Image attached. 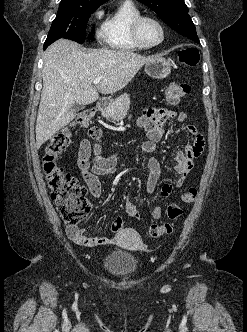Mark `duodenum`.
Instances as JSON below:
<instances>
[{
  "mask_svg": "<svg viewBox=\"0 0 247 332\" xmlns=\"http://www.w3.org/2000/svg\"><path fill=\"white\" fill-rule=\"evenodd\" d=\"M109 106V101L106 99H101L96 104V110L100 113L106 111Z\"/></svg>",
  "mask_w": 247,
  "mask_h": 332,
  "instance_id": "duodenum-1",
  "label": "duodenum"
}]
</instances>
